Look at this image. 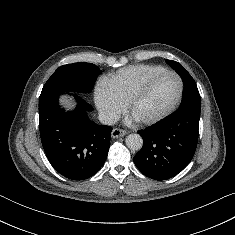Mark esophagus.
Masks as SVG:
<instances>
[{"instance_id": "34e87169", "label": "esophagus", "mask_w": 235, "mask_h": 235, "mask_svg": "<svg viewBox=\"0 0 235 235\" xmlns=\"http://www.w3.org/2000/svg\"><path fill=\"white\" fill-rule=\"evenodd\" d=\"M126 134H127L126 130L115 128L112 130L111 136L113 138H118V137L125 136Z\"/></svg>"}]
</instances>
